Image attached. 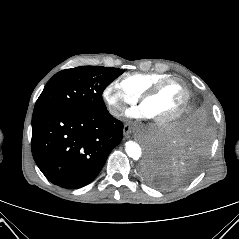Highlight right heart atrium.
I'll use <instances>...</instances> for the list:
<instances>
[{
    "label": "right heart atrium",
    "mask_w": 239,
    "mask_h": 239,
    "mask_svg": "<svg viewBox=\"0 0 239 239\" xmlns=\"http://www.w3.org/2000/svg\"><path fill=\"white\" fill-rule=\"evenodd\" d=\"M103 98L107 103L109 112L118 117L122 115L125 107L135 103L139 96L126 89L121 82L115 80L104 88Z\"/></svg>",
    "instance_id": "obj_1"
}]
</instances>
